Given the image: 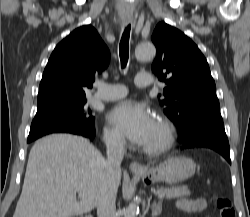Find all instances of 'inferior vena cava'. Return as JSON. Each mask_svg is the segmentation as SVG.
<instances>
[{"label":"inferior vena cava","instance_id":"602c4592","mask_svg":"<svg viewBox=\"0 0 250 217\" xmlns=\"http://www.w3.org/2000/svg\"><path fill=\"white\" fill-rule=\"evenodd\" d=\"M107 159L104 163V184L97 204L98 217H115L118 180L121 176V162L125 154V139L120 134L105 138Z\"/></svg>","mask_w":250,"mask_h":217}]
</instances>
